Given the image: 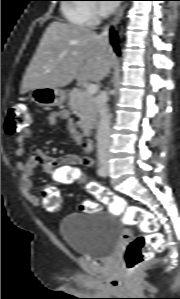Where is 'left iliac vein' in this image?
I'll list each match as a JSON object with an SVG mask.
<instances>
[{
	"instance_id": "1",
	"label": "left iliac vein",
	"mask_w": 180,
	"mask_h": 299,
	"mask_svg": "<svg viewBox=\"0 0 180 299\" xmlns=\"http://www.w3.org/2000/svg\"><path fill=\"white\" fill-rule=\"evenodd\" d=\"M108 172H109V165L106 163L105 164V173L108 174Z\"/></svg>"
}]
</instances>
